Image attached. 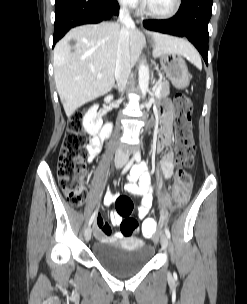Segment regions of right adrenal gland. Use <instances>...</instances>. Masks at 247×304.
I'll return each mask as SVG.
<instances>
[{
    "mask_svg": "<svg viewBox=\"0 0 247 304\" xmlns=\"http://www.w3.org/2000/svg\"><path fill=\"white\" fill-rule=\"evenodd\" d=\"M113 87H114V88H117V86H116V85H114Z\"/></svg>",
    "mask_w": 247,
    "mask_h": 304,
    "instance_id": "right-adrenal-gland-1",
    "label": "right adrenal gland"
}]
</instances>
